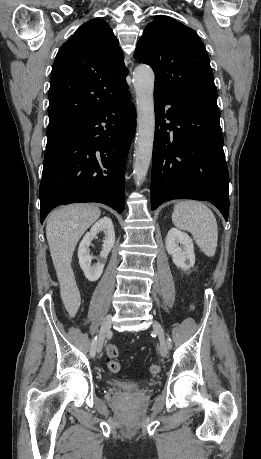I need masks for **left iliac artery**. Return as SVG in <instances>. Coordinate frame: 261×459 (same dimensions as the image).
<instances>
[{"instance_id":"1","label":"left iliac artery","mask_w":261,"mask_h":459,"mask_svg":"<svg viewBox=\"0 0 261 459\" xmlns=\"http://www.w3.org/2000/svg\"><path fill=\"white\" fill-rule=\"evenodd\" d=\"M167 341H168V346H169V348H171V346H172V344H171V339H170V338H168V340H167Z\"/></svg>"}]
</instances>
